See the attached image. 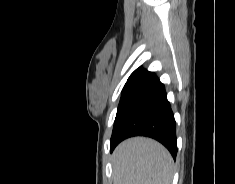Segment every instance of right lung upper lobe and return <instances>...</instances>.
Wrapping results in <instances>:
<instances>
[{
	"mask_svg": "<svg viewBox=\"0 0 235 184\" xmlns=\"http://www.w3.org/2000/svg\"><path fill=\"white\" fill-rule=\"evenodd\" d=\"M147 73L148 71L143 69L142 67L136 69L128 78V81L123 88V92L135 86L137 83L141 82Z\"/></svg>",
	"mask_w": 235,
	"mask_h": 184,
	"instance_id": "obj_1",
	"label": "right lung upper lobe"
}]
</instances>
